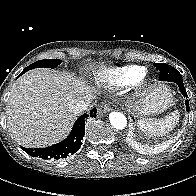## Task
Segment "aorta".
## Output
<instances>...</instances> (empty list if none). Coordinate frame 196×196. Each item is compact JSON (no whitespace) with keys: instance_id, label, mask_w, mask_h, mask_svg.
Here are the masks:
<instances>
[{"instance_id":"obj_1","label":"aorta","mask_w":196,"mask_h":196,"mask_svg":"<svg viewBox=\"0 0 196 196\" xmlns=\"http://www.w3.org/2000/svg\"><path fill=\"white\" fill-rule=\"evenodd\" d=\"M109 120L115 129L122 130L127 126V119L125 115L120 112H111L109 114Z\"/></svg>"}]
</instances>
